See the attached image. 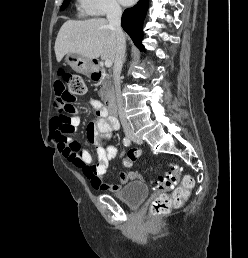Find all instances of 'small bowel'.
I'll list each match as a JSON object with an SVG mask.
<instances>
[{"mask_svg":"<svg viewBox=\"0 0 248 258\" xmlns=\"http://www.w3.org/2000/svg\"><path fill=\"white\" fill-rule=\"evenodd\" d=\"M54 90L56 94L55 101L67 94V91L60 80L55 82ZM88 103L95 110V118L87 126V139L91 143L97 144L100 138H110L112 132L118 129L119 124L115 118L108 115L105 106L100 101L90 99ZM79 124L80 118L78 112L75 111L74 116L71 118V125L73 127L71 132H73L74 129H77ZM51 125V136L57 142L58 149L62 156L74 166L82 169L83 172L88 168L93 170V174L86 177L90 180L95 189L118 192L129 180H134L138 177L136 172H121L120 183L106 184L104 182V178L107 173L108 163L110 159L117 154V149L113 146H109L107 149L98 147V162L94 163L90 153L85 150H81L80 144L68 136V133H61L58 131L57 128L53 126L52 122Z\"/></svg>","mask_w":248,"mask_h":258,"instance_id":"obj_1","label":"small bowel"}]
</instances>
